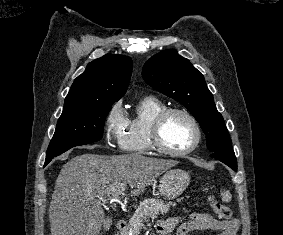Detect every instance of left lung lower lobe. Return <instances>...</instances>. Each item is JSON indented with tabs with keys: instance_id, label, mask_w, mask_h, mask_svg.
Listing matches in <instances>:
<instances>
[{
	"instance_id": "0a47b994",
	"label": "left lung lower lobe",
	"mask_w": 283,
	"mask_h": 235,
	"mask_svg": "<svg viewBox=\"0 0 283 235\" xmlns=\"http://www.w3.org/2000/svg\"><path fill=\"white\" fill-rule=\"evenodd\" d=\"M211 156L225 163L234 171H237V160L234 152H214Z\"/></svg>"
}]
</instances>
